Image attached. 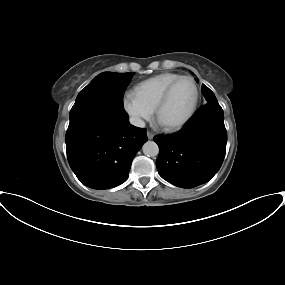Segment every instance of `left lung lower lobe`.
Here are the masks:
<instances>
[{
    "label": "left lung lower lobe",
    "instance_id": "left-lung-lower-lobe-1",
    "mask_svg": "<svg viewBox=\"0 0 285 285\" xmlns=\"http://www.w3.org/2000/svg\"><path fill=\"white\" fill-rule=\"evenodd\" d=\"M156 166L169 183L193 188L208 182L220 169L226 152L227 132L220 105L201 107L177 134L156 136Z\"/></svg>",
    "mask_w": 285,
    "mask_h": 285
}]
</instances>
